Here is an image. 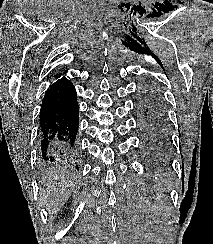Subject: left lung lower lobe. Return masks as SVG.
I'll return each mask as SVG.
<instances>
[{
  "label": "left lung lower lobe",
  "instance_id": "0a47b994",
  "mask_svg": "<svg viewBox=\"0 0 213 244\" xmlns=\"http://www.w3.org/2000/svg\"><path fill=\"white\" fill-rule=\"evenodd\" d=\"M141 133L144 136V148L150 155H157L159 153V147L163 141V136L158 135L148 123L140 118Z\"/></svg>",
  "mask_w": 213,
  "mask_h": 244
}]
</instances>
